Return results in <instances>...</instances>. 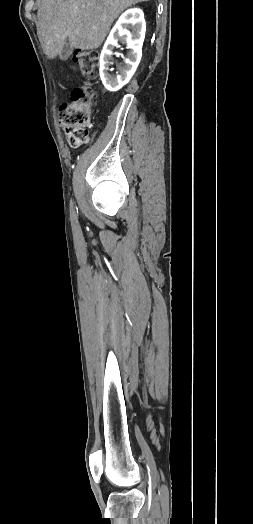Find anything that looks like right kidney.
<instances>
[{"mask_svg":"<svg viewBox=\"0 0 253 524\" xmlns=\"http://www.w3.org/2000/svg\"><path fill=\"white\" fill-rule=\"evenodd\" d=\"M128 29H131L130 32ZM146 23L140 9H129L124 12L112 28L100 55V77L104 87L115 92L129 82L135 73L142 56V45L145 38ZM126 43L130 49L125 65L116 76L108 73L112 64L114 47L118 42Z\"/></svg>","mask_w":253,"mask_h":524,"instance_id":"ca27d5eb","label":"right kidney"}]
</instances>
